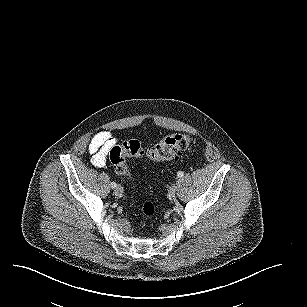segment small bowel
<instances>
[{
  "instance_id": "obj_1",
  "label": "small bowel",
  "mask_w": 307,
  "mask_h": 307,
  "mask_svg": "<svg viewBox=\"0 0 307 307\" xmlns=\"http://www.w3.org/2000/svg\"><path fill=\"white\" fill-rule=\"evenodd\" d=\"M116 143V138L109 131H101L94 135L88 144L91 163L97 168L103 167L108 153Z\"/></svg>"
}]
</instances>
